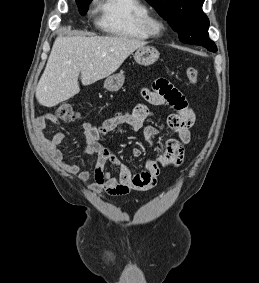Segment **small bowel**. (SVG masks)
Returning a JSON list of instances; mask_svg holds the SVG:
<instances>
[{
	"label": "small bowel",
	"instance_id": "small-bowel-1",
	"mask_svg": "<svg viewBox=\"0 0 259 283\" xmlns=\"http://www.w3.org/2000/svg\"><path fill=\"white\" fill-rule=\"evenodd\" d=\"M141 95L148 104L155 106L167 105L173 109L174 112L164 119L175 137L168 139L163 146L161 155L147 160L139 172H133L123 164L113 152L111 146L103 144L101 140L110 133L117 131L119 127L127 125L133 130L143 128L145 138L153 143L157 130L152 126L143 127V124L148 118L156 116L143 102L136 104L130 111L117 112L101 122H83L81 124L86 139L84 151L88 155L97 157V165L93 171L82 169L79 165L70 164L64 159L59 148L66 138L63 132H56L51 140L47 142L53 158L65 171L76 176L80 181L93 178V183L88 185V189L100 196L105 194L124 196L133 190H150L155 187L162 169L178 168L183 163L184 147L190 141V128L195 121L193 110L183 95L164 79L154 82L151 90L143 89ZM157 118L160 119V117ZM47 122L58 124L57 118L52 113L42 114L34 121L36 135L41 140H44ZM132 154L135 157H140L142 150L133 148ZM106 162H110L117 169L116 175H112L105 170Z\"/></svg>",
	"mask_w": 259,
	"mask_h": 283
}]
</instances>
